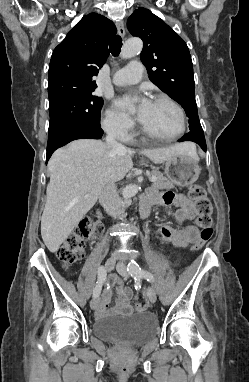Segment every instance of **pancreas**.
I'll use <instances>...</instances> for the list:
<instances>
[{"label":"pancreas","mask_w":249,"mask_h":382,"mask_svg":"<svg viewBox=\"0 0 249 382\" xmlns=\"http://www.w3.org/2000/svg\"><path fill=\"white\" fill-rule=\"evenodd\" d=\"M152 177H156L153 182V189H172L174 188V181L165 177L158 169H153L151 172Z\"/></svg>","instance_id":"obj_1"}]
</instances>
